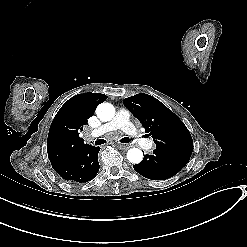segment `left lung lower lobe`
Returning <instances> with one entry per match:
<instances>
[{"label":"left lung lower lobe","instance_id":"0a47b994","mask_svg":"<svg viewBox=\"0 0 247 247\" xmlns=\"http://www.w3.org/2000/svg\"><path fill=\"white\" fill-rule=\"evenodd\" d=\"M188 161L160 149L144 155L141 163L133 165L136 172L151 180H165L177 174Z\"/></svg>","mask_w":247,"mask_h":247}]
</instances>
